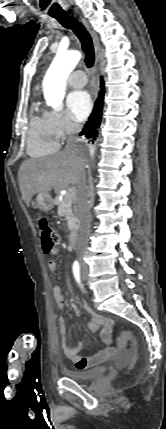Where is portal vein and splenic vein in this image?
<instances>
[{"instance_id":"portal-vein-and-splenic-vein-1","label":"portal vein and splenic vein","mask_w":166,"mask_h":429,"mask_svg":"<svg viewBox=\"0 0 166 429\" xmlns=\"http://www.w3.org/2000/svg\"><path fill=\"white\" fill-rule=\"evenodd\" d=\"M66 196L69 199L73 198V194L71 193V191H68V193L66 194Z\"/></svg>"}]
</instances>
